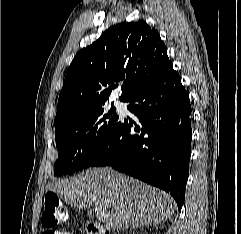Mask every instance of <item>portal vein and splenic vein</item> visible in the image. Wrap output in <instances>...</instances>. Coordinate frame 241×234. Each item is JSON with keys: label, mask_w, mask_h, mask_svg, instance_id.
<instances>
[{"label": "portal vein and splenic vein", "mask_w": 241, "mask_h": 234, "mask_svg": "<svg viewBox=\"0 0 241 234\" xmlns=\"http://www.w3.org/2000/svg\"><path fill=\"white\" fill-rule=\"evenodd\" d=\"M96 214H97V219L102 220L101 214L97 211V208H95Z\"/></svg>", "instance_id": "1"}]
</instances>
